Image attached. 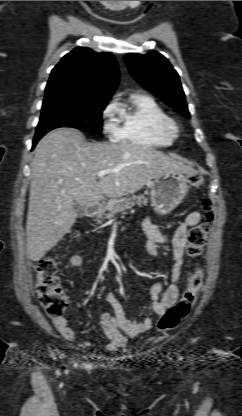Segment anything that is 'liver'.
<instances>
[{
	"label": "liver",
	"instance_id": "obj_1",
	"mask_svg": "<svg viewBox=\"0 0 242 416\" xmlns=\"http://www.w3.org/2000/svg\"><path fill=\"white\" fill-rule=\"evenodd\" d=\"M107 169L112 172L97 180V173ZM163 171L195 172L146 146L90 143L73 128L49 132L38 142L31 166L26 223L30 259H42L69 232L77 218L75 202L90 207L104 196L135 193Z\"/></svg>",
	"mask_w": 242,
	"mask_h": 416
}]
</instances>
